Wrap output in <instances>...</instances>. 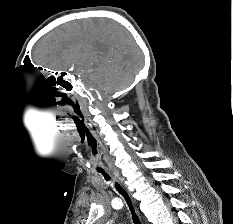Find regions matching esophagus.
Masks as SVG:
<instances>
[{
	"label": "esophagus",
	"instance_id": "obj_1",
	"mask_svg": "<svg viewBox=\"0 0 233 224\" xmlns=\"http://www.w3.org/2000/svg\"><path fill=\"white\" fill-rule=\"evenodd\" d=\"M112 176L114 179H116L117 181H119L121 184H123V179L120 176V173L118 170H114L112 171Z\"/></svg>",
	"mask_w": 233,
	"mask_h": 224
}]
</instances>
